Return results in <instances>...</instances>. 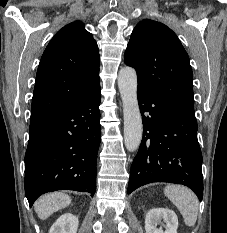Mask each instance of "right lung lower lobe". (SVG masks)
I'll return each instance as SVG.
<instances>
[{
	"mask_svg": "<svg viewBox=\"0 0 227 233\" xmlns=\"http://www.w3.org/2000/svg\"><path fill=\"white\" fill-rule=\"evenodd\" d=\"M100 86L60 109L32 121L25 154V194L32 206L56 190L96 191L101 140Z\"/></svg>",
	"mask_w": 227,
	"mask_h": 233,
	"instance_id": "98d812e1",
	"label": "right lung lower lobe"
}]
</instances>
